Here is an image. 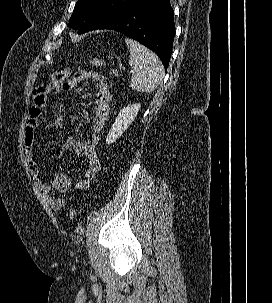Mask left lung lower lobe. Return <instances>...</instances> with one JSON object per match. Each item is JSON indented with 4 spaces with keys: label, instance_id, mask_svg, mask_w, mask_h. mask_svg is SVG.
Masks as SVG:
<instances>
[{
    "label": "left lung lower lobe",
    "instance_id": "0a47b994",
    "mask_svg": "<svg viewBox=\"0 0 272 303\" xmlns=\"http://www.w3.org/2000/svg\"><path fill=\"white\" fill-rule=\"evenodd\" d=\"M170 0H141L95 29H109L137 40L154 51L168 67L175 36Z\"/></svg>",
    "mask_w": 272,
    "mask_h": 303
}]
</instances>
